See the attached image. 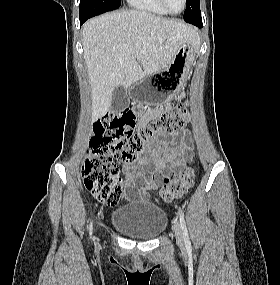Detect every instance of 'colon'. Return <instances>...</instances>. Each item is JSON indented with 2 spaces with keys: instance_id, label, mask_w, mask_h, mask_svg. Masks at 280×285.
<instances>
[{
  "instance_id": "5ec220e1",
  "label": "colon",
  "mask_w": 280,
  "mask_h": 285,
  "mask_svg": "<svg viewBox=\"0 0 280 285\" xmlns=\"http://www.w3.org/2000/svg\"><path fill=\"white\" fill-rule=\"evenodd\" d=\"M190 119L189 105L179 103L154 117L145 127L134 130L136 115L130 108L110 112L97 121L90 139V153L82 166L85 187L107 205L118 202L121 185L116 176L114 157L134 162L145 147L164 132L182 129ZM192 168L178 172L160 191L164 201L180 197L194 182Z\"/></svg>"
}]
</instances>
